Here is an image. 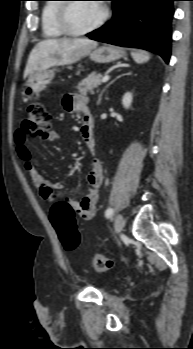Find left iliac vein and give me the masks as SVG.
Returning <instances> with one entry per match:
<instances>
[{"mask_svg":"<svg viewBox=\"0 0 193 349\" xmlns=\"http://www.w3.org/2000/svg\"><path fill=\"white\" fill-rule=\"evenodd\" d=\"M125 221L121 214H118L114 221V230L116 233H120L123 230Z\"/></svg>","mask_w":193,"mask_h":349,"instance_id":"1","label":"left iliac vein"}]
</instances>
